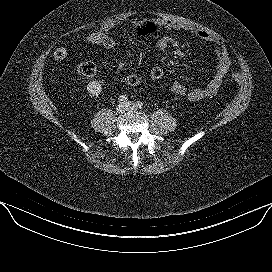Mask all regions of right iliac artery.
Listing matches in <instances>:
<instances>
[{
    "instance_id": "right-iliac-artery-1",
    "label": "right iliac artery",
    "mask_w": 272,
    "mask_h": 272,
    "mask_svg": "<svg viewBox=\"0 0 272 272\" xmlns=\"http://www.w3.org/2000/svg\"><path fill=\"white\" fill-rule=\"evenodd\" d=\"M118 100L120 103L125 104L128 101V97L126 95H121V96H119Z\"/></svg>"
}]
</instances>
